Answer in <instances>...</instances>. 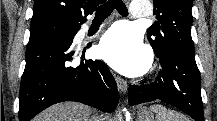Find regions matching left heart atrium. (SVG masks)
Here are the masks:
<instances>
[{"mask_svg":"<svg viewBox=\"0 0 217 121\" xmlns=\"http://www.w3.org/2000/svg\"><path fill=\"white\" fill-rule=\"evenodd\" d=\"M99 52L114 69L130 76L144 73L150 64V54L137 31L126 24L110 28L102 37Z\"/></svg>","mask_w":217,"mask_h":121,"instance_id":"obj_1","label":"left heart atrium"}]
</instances>
